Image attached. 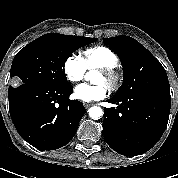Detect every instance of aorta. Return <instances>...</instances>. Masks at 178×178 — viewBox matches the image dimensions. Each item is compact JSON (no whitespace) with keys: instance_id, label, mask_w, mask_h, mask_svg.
Listing matches in <instances>:
<instances>
[{"instance_id":"aorta-1","label":"aorta","mask_w":178,"mask_h":178,"mask_svg":"<svg viewBox=\"0 0 178 178\" xmlns=\"http://www.w3.org/2000/svg\"><path fill=\"white\" fill-rule=\"evenodd\" d=\"M90 74L91 72L87 73L85 78L86 79L90 78ZM88 114L92 119L98 120L103 115V110L98 106H93L88 109Z\"/></svg>"}]
</instances>
